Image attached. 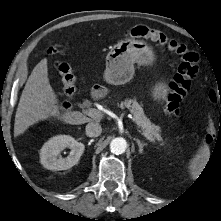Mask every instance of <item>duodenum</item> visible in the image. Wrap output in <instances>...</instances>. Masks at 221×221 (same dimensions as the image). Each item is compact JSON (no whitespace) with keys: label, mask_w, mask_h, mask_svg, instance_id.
Listing matches in <instances>:
<instances>
[{"label":"duodenum","mask_w":221,"mask_h":221,"mask_svg":"<svg viewBox=\"0 0 221 221\" xmlns=\"http://www.w3.org/2000/svg\"><path fill=\"white\" fill-rule=\"evenodd\" d=\"M99 93H100V90L96 91V92L94 93V95H98Z\"/></svg>","instance_id":"1"}]
</instances>
